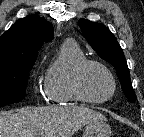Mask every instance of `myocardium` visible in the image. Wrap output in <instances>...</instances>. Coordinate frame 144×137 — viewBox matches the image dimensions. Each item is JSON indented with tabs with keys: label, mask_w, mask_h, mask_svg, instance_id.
Returning a JSON list of instances; mask_svg holds the SVG:
<instances>
[{
	"label": "myocardium",
	"mask_w": 144,
	"mask_h": 137,
	"mask_svg": "<svg viewBox=\"0 0 144 137\" xmlns=\"http://www.w3.org/2000/svg\"><path fill=\"white\" fill-rule=\"evenodd\" d=\"M92 66H96V67L102 69L107 74V76L109 77V79L111 81V85H112L111 93L102 99L90 98L86 94V92L83 88L84 74H85L86 70ZM73 91H74L76 98L79 101H82V102L88 103V104H94V105L104 104V103L110 101L115 96L116 91H117V82H116L114 74L105 64H103L102 62L96 61V60H85L75 70V73L73 76Z\"/></svg>",
	"instance_id": "myocardium-1"
}]
</instances>
